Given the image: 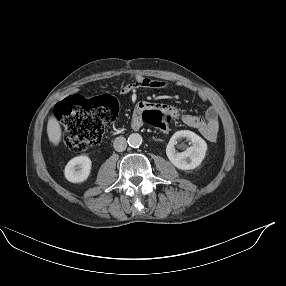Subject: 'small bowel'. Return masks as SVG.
Wrapping results in <instances>:
<instances>
[{
  "mask_svg": "<svg viewBox=\"0 0 286 286\" xmlns=\"http://www.w3.org/2000/svg\"><path fill=\"white\" fill-rule=\"evenodd\" d=\"M173 87V84L166 81L150 79L142 75L135 74L133 76V82L124 85L121 88V92L123 94H131L134 93L138 88L169 89ZM198 96L203 101L209 100L208 95L203 91H198ZM154 109L161 110L164 115L169 113L172 118L174 116H179L176 110L169 106V102L167 100H140L137 107L132 109V114L134 116H139L145 110ZM181 118L188 127L197 130L209 142H215L217 140L219 132V118L218 111L215 106H208L204 118L190 114L181 115Z\"/></svg>",
  "mask_w": 286,
  "mask_h": 286,
  "instance_id": "1",
  "label": "small bowel"
}]
</instances>
